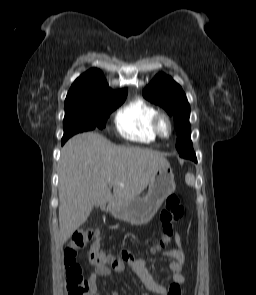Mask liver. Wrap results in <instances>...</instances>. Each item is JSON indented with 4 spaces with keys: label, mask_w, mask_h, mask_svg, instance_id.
Masks as SVG:
<instances>
[{
    "label": "liver",
    "mask_w": 256,
    "mask_h": 295,
    "mask_svg": "<svg viewBox=\"0 0 256 295\" xmlns=\"http://www.w3.org/2000/svg\"><path fill=\"white\" fill-rule=\"evenodd\" d=\"M165 163L159 152L118 146L95 132L70 138L58 168L61 244L86 222L95 205L137 198Z\"/></svg>",
    "instance_id": "6515ba94"
}]
</instances>
